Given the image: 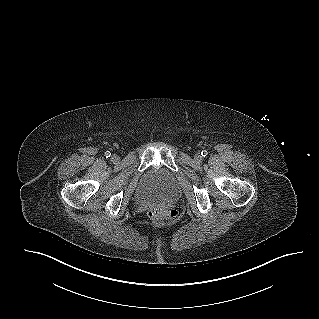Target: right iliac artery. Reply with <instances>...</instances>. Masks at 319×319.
I'll use <instances>...</instances> for the list:
<instances>
[{
  "label": "right iliac artery",
  "mask_w": 319,
  "mask_h": 319,
  "mask_svg": "<svg viewBox=\"0 0 319 319\" xmlns=\"http://www.w3.org/2000/svg\"><path fill=\"white\" fill-rule=\"evenodd\" d=\"M105 156H106V158H108V157L111 156V153H110L109 151H106V152H105Z\"/></svg>",
  "instance_id": "obj_1"
}]
</instances>
